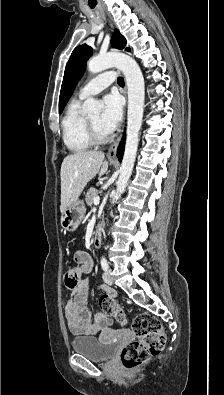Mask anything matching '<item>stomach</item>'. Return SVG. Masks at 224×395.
<instances>
[{
  "instance_id": "1",
  "label": "stomach",
  "mask_w": 224,
  "mask_h": 395,
  "mask_svg": "<svg viewBox=\"0 0 224 395\" xmlns=\"http://www.w3.org/2000/svg\"><path fill=\"white\" fill-rule=\"evenodd\" d=\"M86 208L82 200L73 202L61 215V226L66 231H75L84 218Z\"/></svg>"
}]
</instances>
